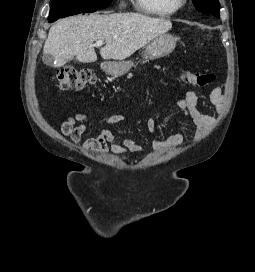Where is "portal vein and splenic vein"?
Here are the masks:
<instances>
[{
    "instance_id": "18ae733b",
    "label": "portal vein and splenic vein",
    "mask_w": 255,
    "mask_h": 272,
    "mask_svg": "<svg viewBox=\"0 0 255 272\" xmlns=\"http://www.w3.org/2000/svg\"><path fill=\"white\" fill-rule=\"evenodd\" d=\"M95 45L100 47V46L103 45V41L102 40H97Z\"/></svg>"
}]
</instances>
